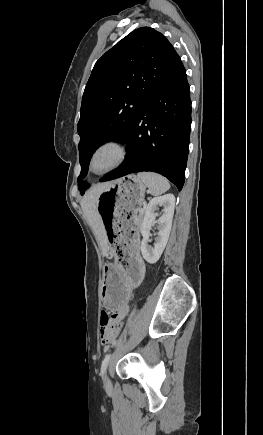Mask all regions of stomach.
<instances>
[{
  "label": "stomach",
  "mask_w": 263,
  "mask_h": 435,
  "mask_svg": "<svg viewBox=\"0 0 263 435\" xmlns=\"http://www.w3.org/2000/svg\"><path fill=\"white\" fill-rule=\"evenodd\" d=\"M146 187L135 175L109 182L97 198L96 206L102 220L101 233H107L110 256L103 265L102 305L105 310H120L130 305L140 288L144 275L141 260H132L139 246L140 224L137 210L144 200Z\"/></svg>",
  "instance_id": "obj_1"
}]
</instances>
